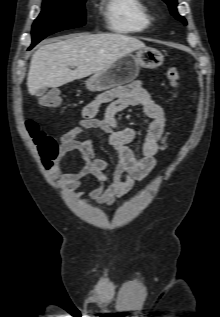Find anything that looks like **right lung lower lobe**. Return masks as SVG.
<instances>
[{"label":"right lung lower lobe","instance_id":"obj_1","mask_svg":"<svg viewBox=\"0 0 220 317\" xmlns=\"http://www.w3.org/2000/svg\"><path fill=\"white\" fill-rule=\"evenodd\" d=\"M34 47V45H31L30 47H29V49H31V48H33Z\"/></svg>","mask_w":220,"mask_h":317}]
</instances>
